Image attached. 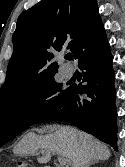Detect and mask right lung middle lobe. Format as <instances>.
Wrapping results in <instances>:
<instances>
[{
  "label": "right lung middle lobe",
  "instance_id": "dd1d6c3e",
  "mask_svg": "<svg viewBox=\"0 0 125 167\" xmlns=\"http://www.w3.org/2000/svg\"><path fill=\"white\" fill-rule=\"evenodd\" d=\"M69 92L54 77L18 96L0 100V147L28 129L54 103Z\"/></svg>",
  "mask_w": 125,
  "mask_h": 167
}]
</instances>
